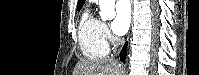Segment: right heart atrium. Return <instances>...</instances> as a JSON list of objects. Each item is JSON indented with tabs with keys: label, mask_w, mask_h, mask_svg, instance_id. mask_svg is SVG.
<instances>
[{
	"label": "right heart atrium",
	"mask_w": 199,
	"mask_h": 75,
	"mask_svg": "<svg viewBox=\"0 0 199 75\" xmlns=\"http://www.w3.org/2000/svg\"><path fill=\"white\" fill-rule=\"evenodd\" d=\"M102 34L106 42H112L114 40L113 35L109 29V26L105 23H102Z\"/></svg>",
	"instance_id": "d8ad5b80"
}]
</instances>
